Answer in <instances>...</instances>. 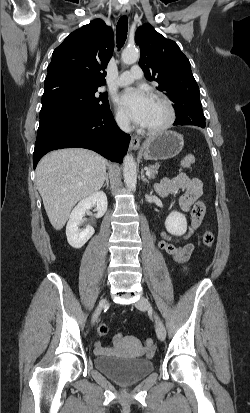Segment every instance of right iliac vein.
I'll return each instance as SVG.
<instances>
[{
    "label": "right iliac vein",
    "mask_w": 250,
    "mask_h": 413,
    "mask_svg": "<svg viewBox=\"0 0 250 413\" xmlns=\"http://www.w3.org/2000/svg\"><path fill=\"white\" fill-rule=\"evenodd\" d=\"M106 302H107L106 299H102L99 302V305H98L97 309L95 310V312L93 314V318H92L93 323L98 319V316L100 315V312H101L103 306L106 304Z\"/></svg>",
    "instance_id": "right-iliac-vein-1"
}]
</instances>
